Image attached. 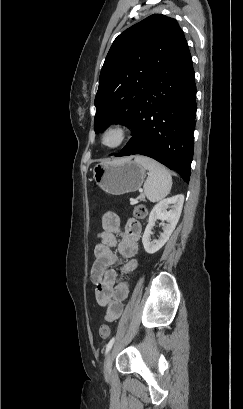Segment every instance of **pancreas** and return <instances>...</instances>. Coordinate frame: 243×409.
<instances>
[{"instance_id": "pancreas-1", "label": "pancreas", "mask_w": 243, "mask_h": 409, "mask_svg": "<svg viewBox=\"0 0 243 409\" xmlns=\"http://www.w3.org/2000/svg\"><path fill=\"white\" fill-rule=\"evenodd\" d=\"M140 198H141V199H144V196H141Z\"/></svg>"}]
</instances>
